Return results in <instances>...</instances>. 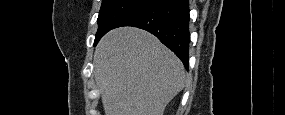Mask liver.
<instances>
[{"label": "liver", "instance_id": "6515ba94", "mask_svg": "<svg viewBox=\"0 0 285 115\" xmlns=\"http://www.w3.org/2000/svg\"><path fill=\"white\" fill-rule=\"evenodd\" d=\"M93 63L105 115H163L185 86L179 58L138 28L108 32L96 46Z\"/></svg>", "mask_w": 285, "mask_h": 115}]
</instances>
